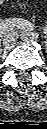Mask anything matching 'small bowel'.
<instances>
[{
    "instance_id": "1",
    "label": "small bowel",
    "mask_w": 47,
    "mask_h": 129,
    "mask_svg": "<svg viewBox=\"0 0 47 129\" xmlns=\"http://www.w3.org/2000/svg\"><path fill=\"white\" fill-rule=\"evenodd\" d=\"M4 1H6V0H0L1 3L4 2Z\"/></svg>"
}]
</instances>
